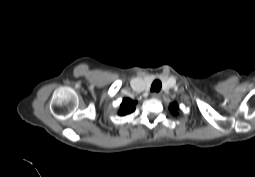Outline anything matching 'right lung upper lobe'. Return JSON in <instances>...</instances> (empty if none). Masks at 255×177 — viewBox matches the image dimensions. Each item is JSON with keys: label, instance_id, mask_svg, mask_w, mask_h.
<instances>
[{"label": "right lung upper lobe", "instance_id": "cb5924a9", "mask_svg": "<svg viewBox=\"0 0 255 177\" xmlns=\"http://www.w3.org/2000/svg\"><path fill=\"white\" fill-rule=\"evenodd\" d=\"M136 104L137 101H133L130 98L123 99L118 114L121 116L131 114L135 110Z\"/></svg>", "mask_w": 255, "mask_h": 177}]
</instances>
